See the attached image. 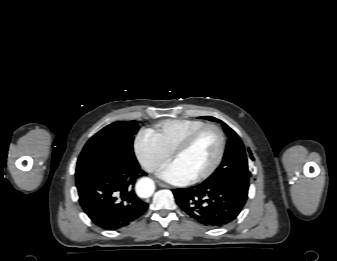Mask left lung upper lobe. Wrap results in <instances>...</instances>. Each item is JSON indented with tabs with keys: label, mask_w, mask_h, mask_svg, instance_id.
<instances>
[{
	"label": "left lung upper lobe",
	"mask_w": 337,
	"mask_h": 261,
	"mask_svg": "<svg viewBox=\"0 0 337 261\" xmlns=\"http://www.w3.org/2000/svg\"><path fill=\"white\" fill-rule=\"evenodd\" d=\"M207 120L220 122L229 140L227 142L226 151L223 161L216 171L203 183L205 184H221L232 188L239 193L242 197H248L249 176L247 156L245 147L239 136L224 122L206 116ZM250 152V150H248Z\"/></svg>",
	"instance_id": "obj_1"
}]
</instances>
